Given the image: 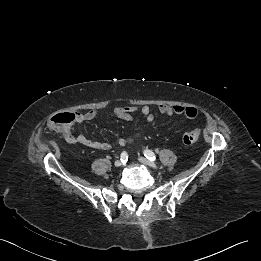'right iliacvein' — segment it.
I'll return each mask as SVG.
<instances>
[{"label": "right iliac vein", "mask_w": 261, "mask_h": 261, "mask_svg": "<svg viewBox=\"0 0 261 261\" xmlns=\"http://www.w3.org/2000/svg\"><path fill=\"white\" fill-rule=\"evenodd\" d=\"M114 165H115V167H120V166H122V162L120 160H116Z\"/></svg>", "instance_id": "obj_1"}]
</instances>
